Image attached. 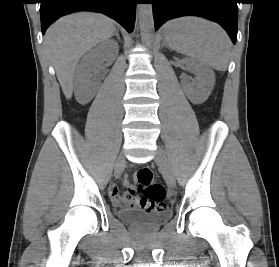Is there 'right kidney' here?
I'll return each mask as SVG.
<instances>
[{
    "label": "right kidney",
    "instance_id": "right-kidney-1",
    "mask_svg": "<svg viewBox=\"0 0 279 267\" xmlns=\"http://www.w3.org/2000/svg\"><path fill=\"white\" fill-rule=\"evenodd\" d=\"M118 51V46L113 48L112 44L105 42L96 46L84 56V67H87V69L84 68L83 72L76 74L74 81L75 96L79 103H88L96 94L99 82L92 77L91 71L98 65L99 59L105 56H117Z\"/></svg>",
    "mask_w": 279,
    "mask_h": 267
}]
</instances>
